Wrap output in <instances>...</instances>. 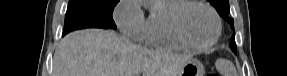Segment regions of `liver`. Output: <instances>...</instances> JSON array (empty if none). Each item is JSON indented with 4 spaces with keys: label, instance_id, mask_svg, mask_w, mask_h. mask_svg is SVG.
Masks as SVG:
<instances>
[{
    "label": "liver",
    "instance_id": "1",
    "mask_svg": "<svg viewBox=\"0 0 287 76\" xmlns=\"http://www.w3.org/2000/svg\"><path fill=\"white\" fill-rule=\"evenodd\" d=\"M190 55L149 50L114 31L86 29L66 35L53 59V76H179Z\"/></svg>",
    "mask_w": 287,
    "mask_h": 76
}]
</instances>
